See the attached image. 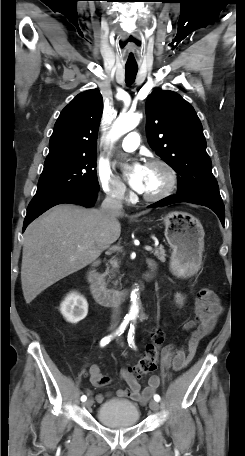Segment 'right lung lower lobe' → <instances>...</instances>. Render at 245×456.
<instances>
[{
	"mask_svg": "<svg viewBox=\"0 0 245 456\" xmlns=\"http://www.w3.org/2000/svg\"><path fill=\"white\" fill-rule=\"evenodd\" d=\"M98 191L93 192H69L49 196L41 199H33L27 209V215L24 220L23 231L39 215L49 208L62 203H72L91 207L95 203Z\"/></svg>",
	"mask_w": 245,
	"mask_h": 456,
	"instance_id": "1",
	"label": "right lung lower lobe"
}]
</instances>
